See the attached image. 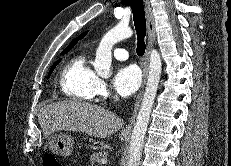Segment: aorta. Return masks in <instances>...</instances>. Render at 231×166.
Instances as JSON below:
<instances>
[{
	"instance_id": "762f6f07",
	"label": "aorta",
	"mask_w": 231,
	"mask_h": 166,
	"mask_svg": "<svg viewBox=\"0 0 231 166\" xmlns=\"http://www.w3.org/2000/svg\"><path fill=\"white\" fill-rule=\"evenodd\" d=\"M132 35V29L127 24L123 23H119L104 35L97 48L96 57L93 64L94 70L99 76L108 77L110 75L112 47L117 42L127 39ZM161 70L162 62L160 54L157 50L152 49L150 52V65L146 90L131 135L127 166H139L144 138L150 119V113L160 81Z\"/></svg>"
}]
</instances>
